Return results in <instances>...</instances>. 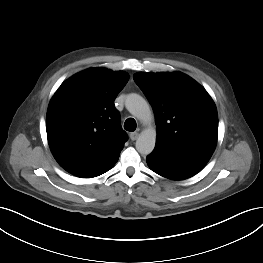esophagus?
I'll return each mask as SVG.
<instances>
[{
    "label": "esophagus",
    "mask_w": 263,
    "mask_h": 263,
    "mask_svg": "<svg viewBox=\"0 0 263 263\" xmlns=\"http://www.w3.org/2000/svg\"><path fill=\"white\" fill-rule=\"evenodd\" d=\"M139 137V134L137 132L130 133V139L132 141H135Z\"/></svg>",
    "instance_id": "obj_1"
}]
</instances>
